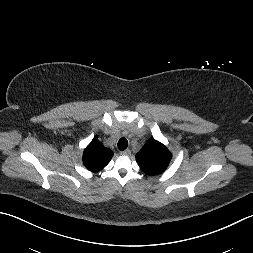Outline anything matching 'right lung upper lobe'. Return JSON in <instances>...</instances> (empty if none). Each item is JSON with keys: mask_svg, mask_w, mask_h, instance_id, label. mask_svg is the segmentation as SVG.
Returning <instances> with one entry per match:
<instances>
[{"mask_svg": "<svg viewBox=\"0 0 253 253\" xmlns=\"http://www.w3.org/2000/svg\"><path fill=\"white\" fill-rule=\"evenodd\" d=\"M112 156L113 152L95 137L84 150L83 163L88 170L98 171L109 163Z\"/></svg>", "mask_w": 253, "mask_h": 253, "instance_id": "1", "label": "right lung upper lobe"}]
</instances>
